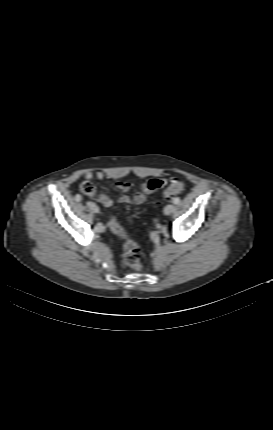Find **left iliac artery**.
I'll return each instance as SVG.
<instances>
[{"label": "left iliac artery", "instance_id": "obj_1", "mask_svg": "<svg viewBox=\"0 0 273 430\" xmlns=\"http://www.w3.org/2000/svg\"><path fill=\"white\" fill-rule=\"evenodd\" d=\"M172 203H173V204H179V203H180V199H179V198H174V199L172 200Z\"/></svg>", "mask_w": 273, "mask_h": 430}]
</instances>
